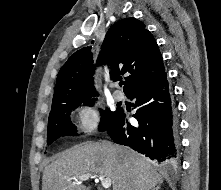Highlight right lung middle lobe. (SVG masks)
Segmentation results:
<instances>
[{"mask_svg":"<svg viewBox=\"0 0 221 190\" xmlns=\"http://www.w3.org/2000/svg\"><path fill=\"white\" fill-rule=\"evenodd\" d=\"M95 99L86 102H67L52 105V109L48 120L47 144L50 145L60 136L76 135V126L70 121V113L82 103L84 105L93 106ZM120 109L111 112L106 109L102 115L99 125L100 131H106L116 119Z\"/></svg>","mask_w":221,"mask_h":190,"instance_id":"1","label":"right lung middle lobe"}]
</instances>
